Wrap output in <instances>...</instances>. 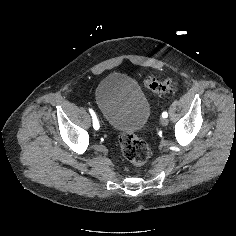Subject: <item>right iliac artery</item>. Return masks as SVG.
Returning <instances> with one entry per match:
<instances>
[{
	"label": "right iliac artery",
	"mask_w": 236,
	"mask_h": 236,
	"mask_svg": "<svg viewBox=\"0 0 236 236\" xmlns=\"http://www.w3.org/2000/svg\"><path fill=\"white\" fill-rule=\"evenodd\" d=\"M89 112L92 116V119H93V127L96 131H99L101 129V126L99 125V122H98V119H97V116L95 114V112L89 108Z\"/></svg>",
	"instance_id": "right-iliac-artery-1"
}]
</instances>
